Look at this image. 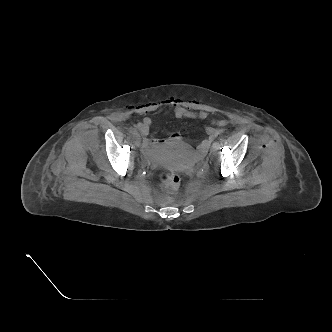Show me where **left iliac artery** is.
<instances>
[{"mask_svg":"<svg viewBox=\"0 0 332 332\" xmlns=\"http://www.w3.org/2000/svg\"><path fill=\"white\" fill-rule=\"evenodd\" d=\"M213 146H215L217 149L219 148V146H220V143H219V141L217 140V141H215L214 142V144H213Z\"/></svg>","mask_w":332,"mask_h":332,"instance_id":"44dca946","label":"left iliac artery"}]
</instances>
